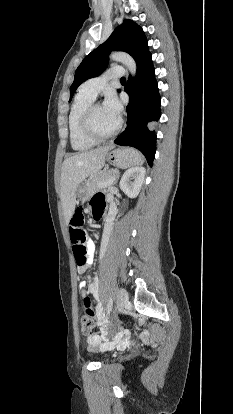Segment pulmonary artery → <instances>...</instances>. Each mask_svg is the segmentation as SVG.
Listing matches in <instances>:
<instances>
[{"label":"pulmonary artery","instance_id":"1","mask_svg":"<svg viewBox=\"0 0 233 414\" xmlns=\"http://www.w3.org/2000/svg\"><path fill=\"white\" fill-rule=\"evenodd\" d=\"M124 75V69L120 66L112 67L98 77L91 78L84 82L80 90L95 98L111 79H118Z\"/></svg>","mask_w":233,"mask_h":414}]
</instances>
